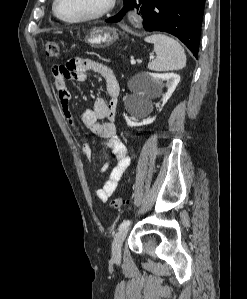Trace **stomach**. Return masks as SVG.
I'll use <instances>...</instances> for the list:
<instances>
[{"label": "stomach", "instance_id": "1", "mask_svg": "<svg viewBox=\"0 0 247 299\" xmlns=\"http://www.w3.org/2000/svg\"><path fill=\"white\" fill-rule=\"evenodd\" d=\"M117 39V29L107 26L94 27L85 36V42L95 48L109 47Z\"/></svg>", "mask_w": 247, "mask_h": 299}]
</instances>
